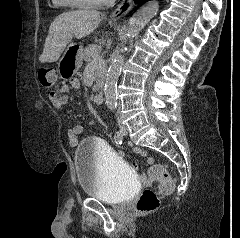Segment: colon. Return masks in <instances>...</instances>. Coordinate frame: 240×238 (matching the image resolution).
Listing matches in <instances>:
<instances>
[{"label": "colon", "instance_id": "1", "mask_svg": "<svg viewBox=\"0 0 240 238\" xmlns=\"http://www.w3.org/2000/svg\"><path fill=\"white\" fill-rule=\"evenodd\" d=\"M57 75L54 69L42 67L38 71L40 84L50 89L55 85ZM149 178L158 182V193L152 189H145L136 203V210L141 214L149 213L158 208L160 201L159 195H169L174 190V181L165 167L154 165L149 170Z\"/></svg>", "mask_w": 240, "mask_h": 238}]
</instances>
